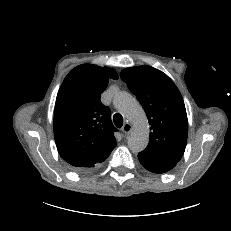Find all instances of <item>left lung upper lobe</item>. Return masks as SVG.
<instances>
[{
	"instance_id": "left-lung-upper-lobe-1",
	"label": "left lung upper lobe",
	"mask_w": 231,
	"mask_h": 231,
	"mask_svg": "<svg viewBox=\"0 0 231 231\" xmlns=\"http://www.w3.org/2000/svg\"><path fill=\"white\" fill-rule=\"evenodd\" d=\"M120 76L140 101L151 125L149 144L140 153L177 163L184 154L188 134L180 91L166 74L150 66L126 68Z\"/></svg>"
}]
</instances>
